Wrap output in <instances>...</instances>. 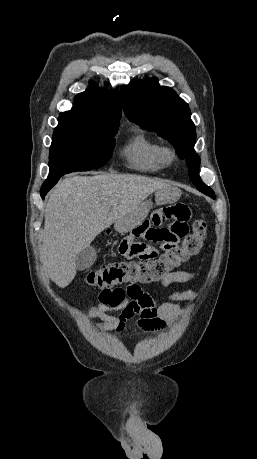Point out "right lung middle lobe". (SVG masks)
<instances>
[{"mask_svg":"<svg viewBox=\"0 0 257 459\" xmlns=\"http://www.w3.org/2000/svg\"><path fill=\"white\" fill-rule=\"evenodd\" d=\"M58 121L50 148L49 177L100 168L110 159L117 128Z\"/></svg>","mask_w":257,"mask_h":459,"instance_id":"obj_1","label":"right lung middle lobe"}]
</instances>
